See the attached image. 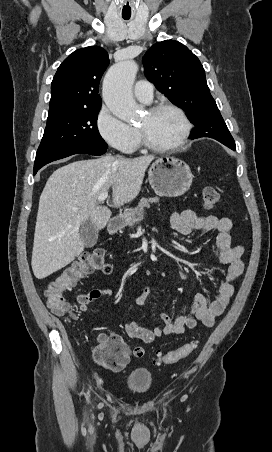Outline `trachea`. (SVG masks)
Listing matches in <instances>:
<instances>
[{
    "instance_id": "obj_1",
    "label": "trachea",
    "mask_w": 272,
    "mask_h": 452,
    "mask_svg": "<svg viewBox=\"0 0 272 452\" xmlns=\"http://www.w3.org/2000/svg\"><path fill=\"white\" fill-rule=\"evenodd\" d=\"M123 19H124V20H129V19H130V17H123Z\"/></svg>"
}]
</instances>
